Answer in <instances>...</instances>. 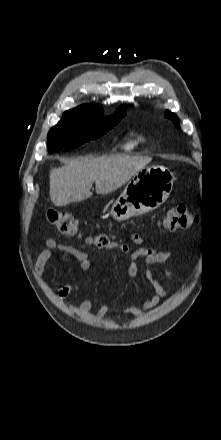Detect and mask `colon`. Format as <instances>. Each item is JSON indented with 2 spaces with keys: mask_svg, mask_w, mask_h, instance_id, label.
I'll return each mask as SVG.
<instances>
[{
  "mask_svg": "<svg viewBox=\"0 0 221 440\" xmlns=\"http://www.w3.org/2000/svg\"><path fill=\"white\" fill-rule=\"evenodd\" d=\"M47 219L60 233L70 236L80 235L78 220L68 212L49 210ZM196 221V215L187 206L178 205L168 210L163 220V227L167 231L176 232L189 228ZM112 240V236L101 233L88 239V243L97 248H106Z\"/></svg>",
  "mask_w": 221,
  "mask_h": 440,
  "instance_id": "1",
  "label": "colon"
}]
</instances>
